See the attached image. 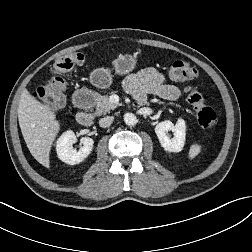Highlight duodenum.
<instances>
[{"mask_svg":"<svg viewBox=\"0 0 252 252\" xmlns=\"http://www.w3.org/2000/svg\"><path fill=\"white\" fill-rule=\"evenodd\" d=\"M94 96L88 90H78L73 97L74 104L80 108L76 114L77 122L81 125H90L91 117L87 112V108L93 103Z\"/></svg>","mask_w":252,"mask_h":252,"instance_id":"obj_1","label":"duodenum"}]
</instances>
